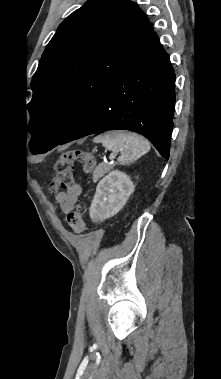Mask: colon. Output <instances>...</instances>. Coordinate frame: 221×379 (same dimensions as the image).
<instances>
[{"label":"colon","mask_w":221,"mask_h":379,"mask_svg":"<svg viewBox=\"0 0 221 379\" xmlns=\"http://www.w3.org/2000/svg\"><path fill=\"white\" fill-rule=\"evenodd\" d=\"M75 163H80L86 173L93 172L96 164L94 157L83 150L74 149L64 152L55 164V175L50 184L52 192H56L59 189H68L73 185ZM67 222L77 234H81L86 230L85 221L80 209L69 213L67 215Z\"/></svg>","instance_id":"1"}]
</instances>
